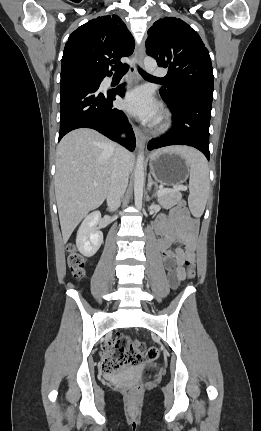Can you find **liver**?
<instances>
[{"label":"liver","instance_id":"6515ba94","mask_svg":"<svg viewBox=\"0 0 261 431\" xmlns=\"http://www.w3.org/2000/svg\"><path fill=\"white\" fill-rule=\"evenodd\" d=\"M117 148L118 145L88 128L68 133L58 144L55 194L64 244L80 221L107 197ZM134 160V155L128 152V173ZM95 182L97 186L93 185Z\"/></svg>","mask_w":261,"mask_h":431}]
</instances>
